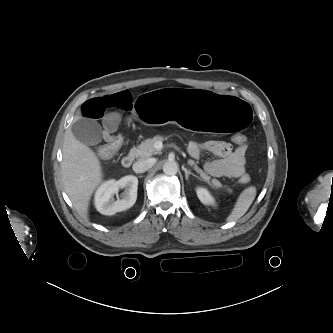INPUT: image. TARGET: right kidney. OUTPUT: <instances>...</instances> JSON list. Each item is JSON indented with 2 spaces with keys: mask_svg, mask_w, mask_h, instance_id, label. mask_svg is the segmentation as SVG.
<instances>
[{
  "mask_svg": "<svg viewBox=\"0 0 333 333\" xmlns=\"http://www.w3.org/2000/svg\"><path fill=\"white\" fill-rule=\"evenodd\" d=\"M138 179L129 175L118 181L108 180L104 182L96 191L95 206L103 215H114L117 212L124 211L132 207L137 199ZM124 188L122 199L115 201L114 194L119 189Z\"/></svg>",
  "mask_w": 333,
  "mask_h": 333,
  "instance_id": "obj_1",
  "label": "right kidney"
}]
</instances>
